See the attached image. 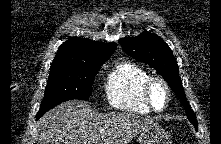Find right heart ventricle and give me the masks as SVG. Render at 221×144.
<instances>
[{
	"label": "right heart ventricle",
	"mask_w": 221,
	"mask_h": 144,
	"mask_svg": "<svg viewBox=\"0 0 221 144\" xmlns=\"http://www.w3.org/2000/svg\"><path fill=\"white\" fill-rule=\"evenodd\" d=\"M149 72L132 61L118 62L108 74L105 93L109 104L119 110L146 114L151 110L143 99V84Z\"/></svg>",
	"instance_id": "right-heart-ventricle-1"
}]
</instances>
